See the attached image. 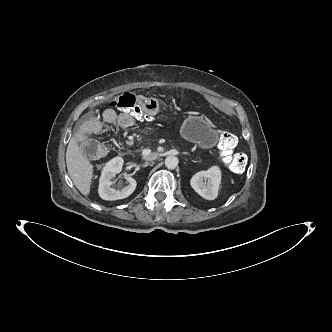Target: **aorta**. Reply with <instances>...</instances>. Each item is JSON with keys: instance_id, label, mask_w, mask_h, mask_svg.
Returning a JSON list of instances; mask_svg holds the SVG:
<instances>
[{"instance_id": "1", "label": "aorta", "mask_w": 332, "mask_h": 332, "mask_svg": "<svg viewBox=\"0 0 332 332\" xmlns=\"http://www.w3.org/2000/svg\"><path fill=\"white\" fill-rule=\"evenodd\" d=\"M178 165V158L175 156H168L165 159V166L168 169H175Z\"/></svg>"}]
</instances>
